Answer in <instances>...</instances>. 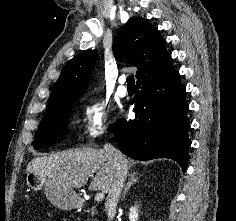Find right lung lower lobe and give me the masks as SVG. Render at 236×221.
I'll list each match as a JSON object with an SVG mask.
<instances>
[{
  "label": "right lung lower lobe",
  "instance_id": "1",
  "mask_svg": "<svg viewBox=\"0 0 236 221\" xmlns=\"http://www.w3.org/2000/svg\"><path fill=\"white\" fill-rule=\"evenodd\" d=\"M134 120L117 121L111 131L121 151L138 160L171 158L187 167L188 104L185 87L169 58L153 73L137 81Z\"/></svg>",
  "mask_w": 236,
  "mask_h": 221
}]
</instances>
